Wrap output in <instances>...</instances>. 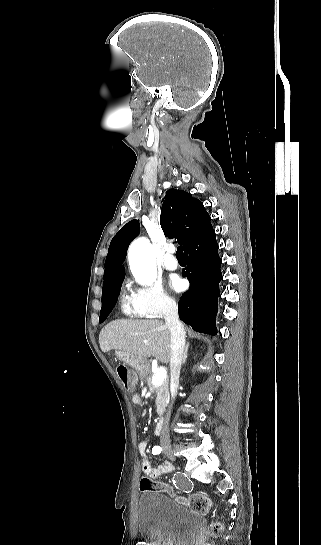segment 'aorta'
<instances>
[{"mask_svg":"<svg viewBox=\"0 0 321 545\" xmlns=\"http://www.w3.org/2000/svg\"><path fill=\"white\" fill-rule=\"evenodd\" d=\"M129 265L136 281L150 285L156 278V260L148 239L141 237L129 247Z\"/></svg>","mask_w":321,"mask_h":545,"instance_id":"762f6f07","label":"aorta"}]
</instances>
